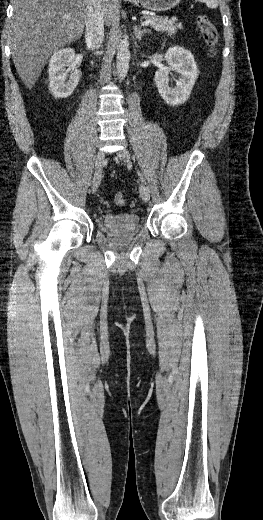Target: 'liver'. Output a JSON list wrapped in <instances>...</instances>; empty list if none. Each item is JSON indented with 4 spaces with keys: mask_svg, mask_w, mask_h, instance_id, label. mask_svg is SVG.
I'll return each mask as SVG.
<instances>
[{
    "mask_svg": "<svg viewBox=\"0 0 263 520\" xmlns=\"http://www.w3.org/2000/svg\"><path fill=\"white\" fill-rule=\"evenodd\" d=\"M118 0H103L104 22L118 13ZM88 0H14L9 27L15 68L29 89L38 80L49 56L80 38ZM70 16L66 19L65 16Z\"/></svg>",
    "mask_w": 263,
    "mask_h": 520,
    "instance_id": "1",
    "label": "liver"
}]
</instances>
